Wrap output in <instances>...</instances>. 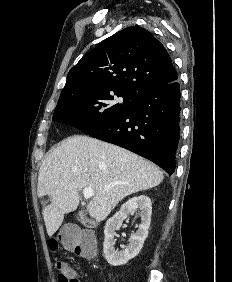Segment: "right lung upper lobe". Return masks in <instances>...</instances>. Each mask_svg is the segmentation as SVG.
<instances>
[{"instance_id":"cb5924a9","label":"right lung upper lobe","mask_w":232,"mask_h":282,"mask_svg":"<svg viewBox=\"0 0 232 282\" xmlns=\"http://www.w3.org/2000/svg\"><path fill=\"white\" fill-rule=\"evenodd\" d=\"M178 78L164 46L146 29H123L105 39L69 71L59 101L78 94L146 88Z\"/></svg>"}]
</instances>
